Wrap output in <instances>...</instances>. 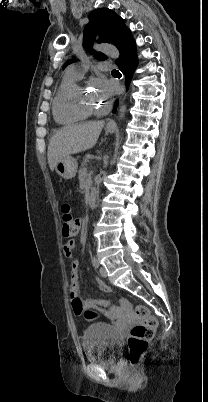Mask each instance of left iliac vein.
<instances>
[{
	"instance_id": "left-iliac-vein-1",
	"label": "left iliac vein",
	"mask_w": 208,
	"mask_h": 402,
	"mask_svg": "<svg viewBox=\"0 0 208 402\" xmlns=\"http://www.w3.org/2000/svg\"><path fill=\"white\" fill-rule=\"evenodd\" d=\"M99 273H100L101 277H103V278L107 277V271H106V269L104 267H100Z\"/></svg>"
}]
</instances>
